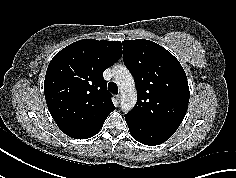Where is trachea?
Here are the masks:
<instances>
[{
	"label": "trachea",
	"instance_id": "1",
	"mask_svg": "<svg viewBox=\"0 0 236 178\" xmlns=\"http://www.w3.org/2000/svg\"><path fill=\"white\" fill-rule=\"evenodd\" d=\"M108 90L113 94H118V87L114 82L108 84Z\"/></svg>",
	"mask_w": 236,
	"mask_h": 178
}]
</instances>
